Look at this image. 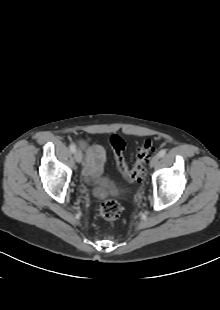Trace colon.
I'll use <instances>...</instances> for the list:
<instances>
[{"label": "colon", "mask_w": 220, "mask_h": 310, "mask_svg": "<svg viewBox=\"0 0 220 310\" xmlns=\"http://www.w3.org/2000/svg\"><path fill=\"white\" fill-rule=\"evenodd\" d=\"M110 143L115 153L117 166L124 178L130 183L141 182L144 176V163L153 150L151 140L142 141L131 168L128 167L124 156L125 141L115 135L111 137ZM121 213L122 208L114 199L105 200L99 207V216L105 220H116L121 216Z\"/></svg>", "instance_id": "obj_1"}]
</instances>
